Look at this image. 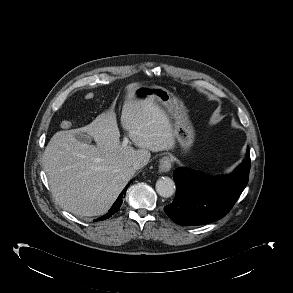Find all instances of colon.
<instances>
[{
  "label": "colon",
  "mask_w": 293,
  "mask_h": 293,
  "mask_svg": "<svg viewBox=\"0 0 293 293\" xmlns=\"http://www.w3.org/2000/svg\"><path fill=\"white\" fill-rule=\"evenodd\" d=\"M94 98V93L93 92H88V93H86V95H85V99L86 100H92ZM73 126V123L71 122V121H68V120H64V121H62V123H61V127L63 128V129H69V128H71Z\"/></svg>",
  "instance_id": "colon-1"
}]
</instances>
